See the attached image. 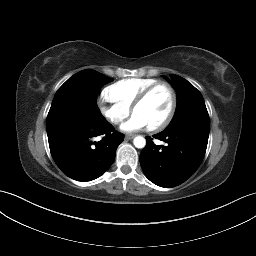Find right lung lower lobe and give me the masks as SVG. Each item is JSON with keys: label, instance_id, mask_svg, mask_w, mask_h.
<instances>
[{"label": "right lung lower lobe", "instance_id": "right-lung-lower-lobe-1", "mask_svg": "<svg viewBox=\"0 0 256 256\" xmlns=\"http://www.w3.org/2000/svg\"><path fill=\"white\" fill-rule=\"evenodd\" d=\"M51 155L68 177L90 181L101 176L113 163L121 133L104 118L58 115L47 119ZM105 135L99 142L93 138Z\"/></svg>", "mask_w": 256, "mask_h": 256}]
</instances>
